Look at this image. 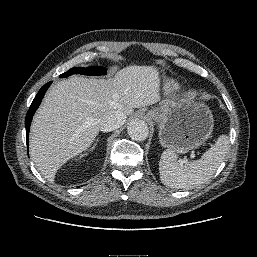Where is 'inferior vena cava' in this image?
Masks as SVG:
<instances>
[{
	"instance_id": "1",
	"label": "inferior vena cava",
	"mask_w": 257,
	"mask_h": 257,
	"mask_svg": "<svg viewBox=\"0 0 257 257\" xmlns=\"http://www.w3.org/2000/svg\"><path fill=\"white\" fill-rule=\"evenodd\" d=\"M125 119L126 116L118 111L108 114L100 120V130L103 132L115 130L123 125Z\"/></svg>"
}]
</instances>
